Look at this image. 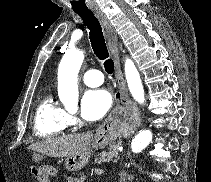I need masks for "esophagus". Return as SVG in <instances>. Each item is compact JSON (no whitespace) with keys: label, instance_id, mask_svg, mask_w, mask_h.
<instances>
[{"label":"esophagus","instance_id":"obj_1","mask_svg":"<svg viewBox=\"0 0 211 182\" xmlns=\"http://www.w3.org/2000/svg\"><path fill=\"white\" fill-rule=\"evenodd\" d=\"M93 12L95 16L99 19L102 25L110 52L115 62V77H116V81L118 85V91L114 95V100L117 104H122V105H125L126 107L132 106L135 109L137 116L139 117L140 113L137 106L134 105L132 101L129 99L127 86H126V83L121 71L120 61L118 57V49H117L118 38H117L116 31L111 25L110 21L107 19V17L103 14V12L99 8L93 9ZM114 112L115 111H112L110 113L106 121L101 126L100 128L101 132L107 129L113 122L114 115H115ZM139 123H140V118H138V124Z\"/></svg>","mask_w":211,"mask_h":182}]
</instances>
